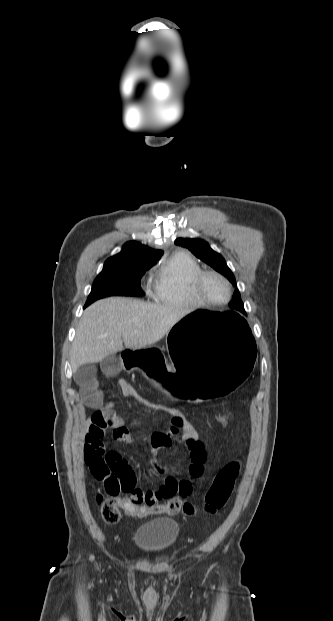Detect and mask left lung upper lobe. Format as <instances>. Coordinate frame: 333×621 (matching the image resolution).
Wrapping results in <instances>:
<instances>
[{
    "mask_svg": "<svg viewBox=\"0 0 333 621\" xmlns=\"http://www.w3.org/2000/svg\"><path fill=\"white\" fill-rule=\"evenodd\" d=\"M175 244L189 249L197 258L227 277L228 280L236 286L234 275L226 265L224 258L219 253L213 251L207 242L196 238H177ZM229 306L234 312L246 314L238 289H236Z\"/></svg>",
    "mask_w": 333,
    "mask_h": 621,
    "instance_id": "obj_1",
    "label": "left lung upper lobe"
}]
</instances>
